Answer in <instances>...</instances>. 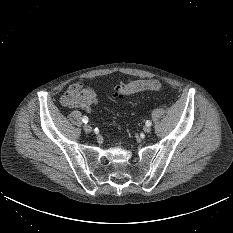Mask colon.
Instances as JSON below:
<instances>
[{
    "instance_id": "1",
    "label": "colon",
    "mask_w": 233,
    "mask_h": 233,
    "mask_svg": "<svg viewBox=\"0 0 233 233\" xmlns=\"http://www.w3.org/2000/svg\"><path fill=\"white\" fill-rule=\"evenodd\" d=\"M162 85L157 80H135L128 82H120L114 85V96L123 98L130 94L141 91H160Z\"/></svg>"
}]
</instances>
